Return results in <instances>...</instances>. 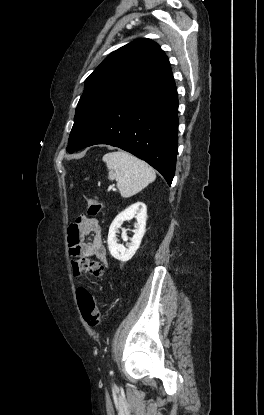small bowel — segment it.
Wrapping results in <instances>:
<instances>
[{"label": "small bowel", "instance_id": "obj_1", "mask_svg": "<svg viewBox=\"0 0 264 415\" xmlns=\"http://www.w3.org/2000/svg\"><path fill=\"white\" fill-rule=\"evenodd\" d=\"M68 246L72 255L95 257L102 267L108 263L101 228L95 219L84 216L77 218L68 230Z\"/></svg>", "mask_w": 264, "mask_h": 415}]
</instances>
